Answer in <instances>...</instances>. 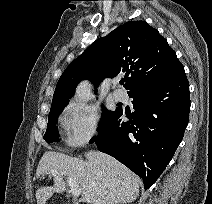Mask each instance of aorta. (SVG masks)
I'll return each instance as SVG.
<instances>
[{"label": "aorta", "mask_w": 212, "mask_h": 204, "mask_svg": "<svg viewBox=\"0 0 212 204\" xmlns=\"http://www.w3.org/2000/svg\"><path fill=\"white\" fill-rule=\"evenodd\" d=\"M89 96H90V87L88 82L86 81L81 82L76 89V95H75L76 101L81 104H85L88 101Z\"/></svg>", "instance_id": "obj_1"}]
</instances>
